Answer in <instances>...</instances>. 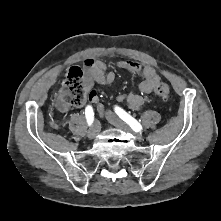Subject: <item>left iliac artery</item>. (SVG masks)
I'll return each instance as SVG.
<instances>
[{"label":"left iliac artery","instance_id":"left-iliac-artery-1","mask_svg":"<svg viewBox=\"0 0 221 221\" xmlns=\"http://www.w3.org/2000/svg\"><path fill=\"white\" fill-rule=\"evenodd\" d=\"M115 112L117 115L124 120L129 126L135 131V132H141L142 131V126L141 124L134 119L132 116H130L127 112H125L122 108L120 107H115Z\"/></svg>","mask_w":221,"mask_h":221}]
</instances>
